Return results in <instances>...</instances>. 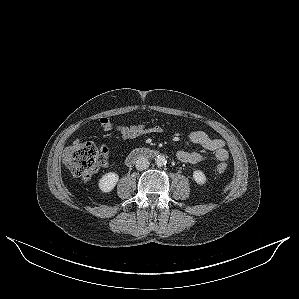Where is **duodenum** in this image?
<instances>
[{
	"instance_id": "duodenum-1",
	"label": "duodenum",
	"mask_w": 299,
	"mask_h": 299,
	"mask_svg": "<svg viewBox=\"0 0 299 299\" xmlns=\"http://www.w3.org/2000/svg\"><path fill=\"white\" fill-rule=\"evenodd\" d=\"M157 154L158 152L154 149H147V148L136 149L128 155L126 159V164L127 166H132L139 159L153 158Z\"/></svg>"
}]
</instances>
